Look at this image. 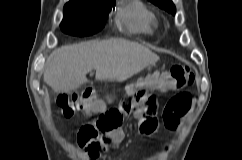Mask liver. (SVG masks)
I'll use <instances>...</instances> for the list:
<instances>
[{
    "instance_id": "1",
    "label": "liver",
    "mask_w": 242,
    "mask_h": 160,
    "mask_svg": "<svg viewBox=\"0 0 242 160\" xmlns=\"http://www.w3.org/2000/svg\"><path fill=\"white\" fill-rule=\"evenodd\" d=\"M158 60V55L136 42L88 41L53 51L46 60L44 81L56 93L71 92L88 82L86 75L93 69L96 80L121 82Z\"/></svg>"
}]
</instances>
